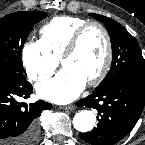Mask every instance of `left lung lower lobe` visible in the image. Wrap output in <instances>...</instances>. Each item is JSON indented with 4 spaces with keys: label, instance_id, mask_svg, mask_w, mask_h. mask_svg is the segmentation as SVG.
Returning <instances> with one entry per match:
<instances>
[{
    "label": "left lung lower lobe",
    "instance_id": "0a47b994",
    "mask_svg": "<svg viewBox=\"0 0 145 145\" xmlns=\"http://www.w3.org/2000/svg\"><path fill=\"white\" fill-rule=\"evenodd\" d=\"M145 83L123 79L94 92L77 102L96 109L99 123L92 131L80 133L92 145H113L131 132L145 103Z\"/></svg>",
    "mask_w": 145,
    "mask_h": 145
}]
</instances>
